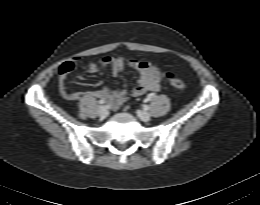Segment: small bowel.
Instances as JSON below:
<instances>
[{
	"instance_id": "small-bowel-1",
	"label": "small bowel",
	"mask_w": 260,
	"mask_h": 205,
	"mask_svg": "<svg viewBox=\"0 0 260 205\" xmlns=\"http://www.w3.org/2000/svg\"><path fill=\"white\" fill-rule=\"evenodd\" d=\"M79 58L74 57L64 62L58 71V87L62 97L66 100H76L82 97L83 93L69 90L66 86V80L69 73L77 65ZM125 67L136 70L140 74L137 85L131 90L126 88L111 90L102 88L87 92L86 95L94 96L107 100L110 108H119L128 98V96H141L148 91H158L161 87V81L164 73L155 65L148 61L137 60L128 56H105L97 62H89L86 65L90 73H101L105 69H110L111 73L118 77Z\"/></svg>"
}]
</instances>
